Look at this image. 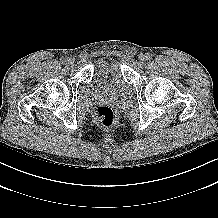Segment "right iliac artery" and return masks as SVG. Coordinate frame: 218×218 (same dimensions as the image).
<instances>
[{"label": "right iliac artery", "mask_w": 218, "mask_h": 218, "mask_svg": "<svg viewBox=\"0 0 218 218\" xmlns=\"http://www.w3.org/2000/svg\"><path fill=\"white\" fill-rule=\"evenodd\" d=\"M61 61H62V63L64 64V63H66V62H67V58H66V57H64V58H62V59H61Z\"/></svg>", "instance_id": "right-iliac-artery-1"}]
</instances>
